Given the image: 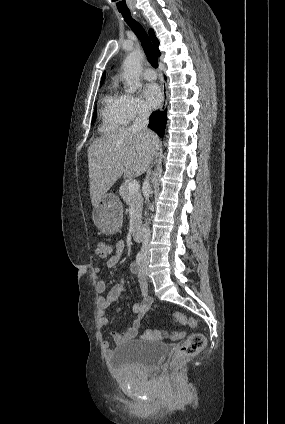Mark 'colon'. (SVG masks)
Masks as SVG:
<instances>
[{
	"mask_svg": "<svg viewBox=\"0 0 285 424\" xmlns=\"http://www.w3.org/2000/svg\"><path fill=\"white\" fill-rule=\"evenodd\" d=\"M93 251L97 257L107 258L112 254V246L105 241L97 240L93 244ZM173 319L176 323L183 326L195 325V321L193 319L188 318L181 312H175L173 314ZM179 336L180 334L178 333L169 335L167 332L161 330H149L144 334V337L146 339H161L163 337L177 338ZM205 343L206 339L203 334L199 332L193 333L184 341V343H182L175 349L173 358L181 359L193 356L199 353L204 348Z\"/></svg>",
	"mask_w": 285,
	"mask_h": 424,
	"instance_id": "1",
	"label": "colon"
}]
</instances>
